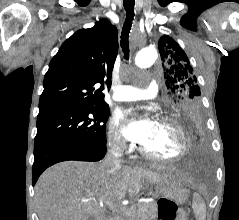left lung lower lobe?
<instances>
[{
	"mask_svg": "<svg viewBox=\"0 0 239 220\" xmlns=\"http://www.w3.org/2000/svg\"><path fill=\"white\" fill-rule=\"evenodd\" d=\"M176 117L189 137L191 146L189 161L194 165H201L205 147L202 110L198 108L184 110Z\"/></svg>",
	"mask_w": 239,
	"mask_h": 220,
	"instance_id": "1",
	"label": "left lung lower lobe"
}]
</instances>
